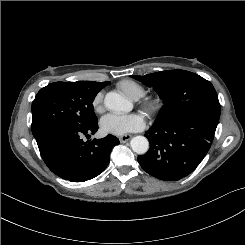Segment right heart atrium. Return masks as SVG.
<instances>
[{
	"label": "right heart atrium",
	"instance_id": "1",
	"mask_svg": "<svg viewBox=\"0 0 245 245\" xmlns=\"http://www.w3.org/2000/svg\"><path fill=\"white\" fill-rule=\"evenodd\" d=\"M92 108L96 113L103 111V93L98 92L92 100Z\"/></svg>",
	"mask_w": 245,
	"mask_h": 245
}]
</instances>
